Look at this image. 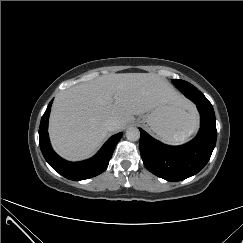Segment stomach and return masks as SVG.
<instances>
[{
  "label": "stomach",
  "instance_id": "1",
  "mask_svg": "<svg viewBox=\"0 0 243 243\" xmlns=\"http://www.w3.org/2000/svg\"><path fill=\"white\" fill-rule=\"evenodd\" d=\"M137 122L156 133L163 141L176 143L185 141L197 128L198 116L194 106H176L160 104L145 115L139 116Z\"/></svg>",
  "mask_w": 243,
  "mask_h": 243
}]
</instances>
